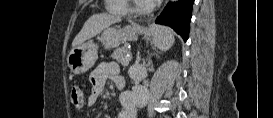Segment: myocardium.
<instances>
[{"mask_svg": "<svg viewBox=\"0 0 273 118\" xmlns=\"http://www.w3.org/2000/svg\"><path fill=\"white\" fill-rule=\"evenodd\" d=\"M152 5L147 4L146 6L139 8L136 5V1L128 0V12L138 16L147 15L152 12Z\"/></svg>", "mask_w": 273, "mask_h": 118, "instance_id": "1", "label": "myocardium"}]
</instances>
